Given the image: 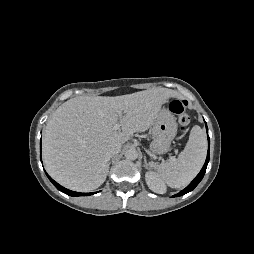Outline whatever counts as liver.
I'll use <instances>...</instances> for the list:
<instances>
[{"instance_id":"1","label":"liver","mask_w":254,"mask_h":254,"mask_svg":"<svg viewBox=\"0 0 254 254\" xmlns=\"http://www.w3.org/2000/svg\"><path fill=\"white\" fill-rule=\"evenodd\" d=\"M176 96L172 89L157 87L115 97L69 99L57 108L45 128L43 159L47 172L75 191L100 187L108 173V145L123 144L133 133L148 130L161 106ZM116 123L121 129L113 130Z\"/></svg>"}]
</instances>
